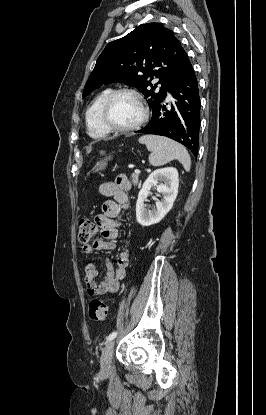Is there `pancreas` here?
<instances>
[{"label":"pancreas","instance_id":"pancreas-1","mask_svg":"<svg viewBox=\"0 0 266 415\" xmlns=\"http://www.w3.org/2000/svg\"><path fill=\"white\" fill-rule=\"evenodd\" d=\"M131 178H132V182H133V184L134 185H137L138 184V182H139V174H132L131 175Z\"/></svg>","mask_w":266,"mask_h":415}]
</instances>
